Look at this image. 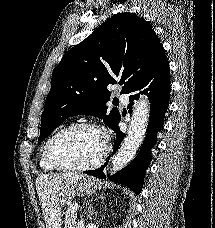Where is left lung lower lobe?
Segmentation results:
<instances>
[{"instance_id": "0a47b994", "label": "left lung lower lobe", "mask_w": 215, "mask_h": 228, "mask_svg": "<svg viewBox=\"0 0 215 228\" xmlns=\"http://www.w3.org/2000/svg\"><path fill=\"white\" fill-rule=\"evenodd\" d=\"M129 93L132 94L129 96V100L132 101L131 105L134 100L139 98L140 94H146L149 97L150 119L147 134L141 150L135 159L121 171L115 173L112 177L109 176V179L117 184L126 185L136 194H139L143 186L146 169L152 157L151 149L156 143L158 131L163 127L164 116L169 104L170 69L163 48L158 52V55L145 76ZM114 132L116 133V139L114 141L113 153H115L119 148L124 138V133L120 131L118 125L115 127ZM107 163L108 160L99 169L85 171L84 173L105 179L103 170Z\"/></svg>"}]
</instances>
